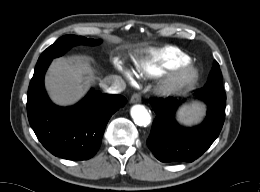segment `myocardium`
<instances>
[{"label": "myocardium", "mask_w": 260, "mask_h": 192, "mask_svg": "<svg viewBox=\"0 0 260 192\" xmlns=\"http://www.w3.org/2000/svg\"><path fill=\"white\" fill-rule=\"evenodd\" d=\"M198 73L194 66L185 63L168 74L158 85L156 91L162 96H171L181 92L197 79Z\"/></svg>", "instance_id": "obj_1"}]
</instances>
